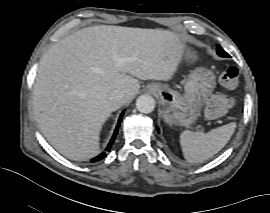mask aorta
<instances>
[{
    "instance_id": "obj_1",
    "label": "aorta",
    "mask_w": 270,
    "mask_h": 213,
    "mask_svg": "<svg viewBox=\"0 0 270 213\" xmlns=\"http://www.w3.org/2000/svg\"><path fill=\"white\" fill-rule=\"evenodd\" d=\"M136 108L141 113H151L155 108V100L150 95H141L136 100Z\"/></svg>"
}]
</instances>
